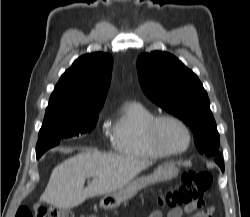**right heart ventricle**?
Instances as JSON below:
<instances>
[{
    "instance_id": "1",
    "label": "right heart ventricle",
    "mask_w": 250,
    "mask_h": 217,
    "mask_svg": "<svg viewBox=\"0 0 250 217\" xmlns=\"http://www.w3.org/2000/svg\"><path fill=\"white\" fill-rule=\"evenodd\" d=\"M155 116L141 102L124 103L109 125L114 151L141 159H161L168 155L157 149L147 135V124Z\"/></svg>"
}]
</instances>
